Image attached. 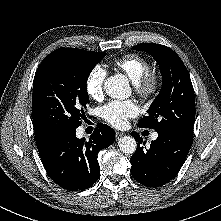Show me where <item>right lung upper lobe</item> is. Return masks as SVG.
<instances>
[{
  "label": "right lung upper lobe",
  "instance_id": "right-lung-upper-lobe-1",
  "mask_svg": "<svg viewBox=\"0 0 221 221\" xmlns=\"http://www.w3.org/2000/svg\"><path fill=\"white\" fill-rule=\"evenodd\" d=\"M35 130V138H36V143H40L41 141H43L47 136H49L50 134L47 132H44L36 127H34Z\"/></svg>",
  "mask_w": 221,
  "mask_h": 221
}]
</instances>
